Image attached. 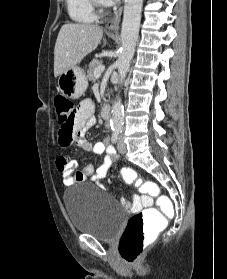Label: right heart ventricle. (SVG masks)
Here are the masks:
<instances>
[{
	"label": "right heart ventricle",
	"mask_w": 227,
	"mask_h": 279,
	"mask_svg": "<svg viewBox=\"0 0 227 279\" xmlns=\"http://www.w3.org/2000/svg\"><path fill=\"white\" fill-rule=\"evenodd\" d=\"M70 18L78 23H91L97 19L89 0H66Z\"/></svg>",
	"instance_id": "right-heart-ventricle-1"
}]
</instances>
